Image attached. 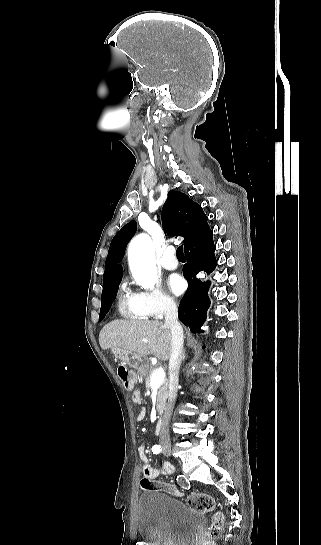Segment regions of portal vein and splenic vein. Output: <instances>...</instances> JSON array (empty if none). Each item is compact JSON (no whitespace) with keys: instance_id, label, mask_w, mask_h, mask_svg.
<instances>
[{"instance_id":"18ae733b","label":"portal vein and splenic vein","mask_w":321,"mask_h":545,"mask_svg":"<svg viewBox=\"0 0 321 545\" xmlns=\"http://www.w3.org/2000/svg\"><path fill=\"white\" fill-rule=\"evenodd\" d=\"M165 371L164 369H155L151 375V387H160L164 383Z\"/></svg>"}]
</instances>
